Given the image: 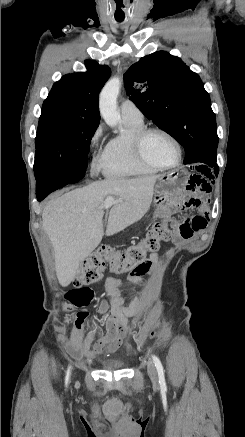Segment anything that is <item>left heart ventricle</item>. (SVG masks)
I'll use <instances>...</instances> for the list:
<instances>
[{"label": "left heart ventricle", "mask_w": 245, "mask_h": 437, "mask_svg": "<svg viewBox=\"0 0 245 437\" xmlns=\"http://www.w3.org/2000/svg\"><path fill=\"white\" fill-rule=\"evenodd\" d=\"M145 156L160 165H172L177 160V149L175 145L160 133H150L143 142Z\"/></svg>", "instance_id": "b2bd125f"}]
</instances>
